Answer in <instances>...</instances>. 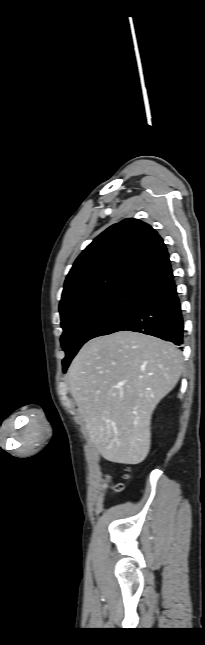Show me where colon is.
I'll return each mask as SVG.
<instances>
[{
  "label": "colon",
  "instance_id": "obj_1",
  "mask_svg": "<svg viewBox=\"0 0 205 645\" xmlns=\"http://www.w3.org/2000/svg\"><path fill=\"white\" fill-rule=\"evenodd\" d=\"M106 481H108V482H110V481H111L109 476H107V477H106ZM111 487H112V489H113L114 491H121V490H122V488H123V486H122V484H121V483H112V484H111Z\"/></svg>",
  "mask_w": 205,
  "mask_h": 645
}]
</instances>
